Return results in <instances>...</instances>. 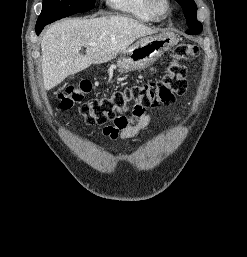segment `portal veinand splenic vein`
I'll list each match as a JSON object with an SVG mask.
<instances>
[{"label":"portal vein and splenic vein","mask_w":247,"mask_h":257,"mask_svg":"<svg viewBox=\"0 0 247 257\" xmlns=\"http://www.w3.org/2000/svg\"><path fill=\"white\" fill-rule=\"evenodd\" d=\"M97 44L96 43H90V46H96Z\"/></svg>","instance_id":"1"}]
</instances>
